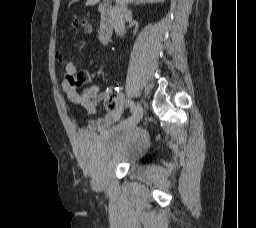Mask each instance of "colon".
I'll use <instances>...</instances> for the list:
<instances>
[{
  "mask_svg": "<svg viewBox=\"0 0 256 228\" xmlns=\"http://www.w3.org/2000/svg\"><path fill=\"white\" fill-rule=\"evenodd\" d=\"M77 24L83 25L87 30L91 29V24L85 19L84 20H75L74 25H77ZM58 59L61 62H64V58H63L62 53L58 54ZM66 63L67 62H65L64 65H63L64 70H66ZM105 102H106V107L110 111V113H113L117 110V94L114 90L110 91L106 95Z\"/></svg>",
  "mask_w": 256,
  "mask_h": 228,
  "instance_id": "1",
  "label": "colon"
}]
</instances>
